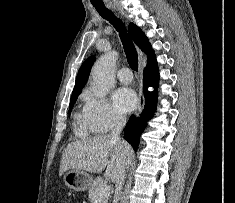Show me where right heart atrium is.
<instances>
[{
  "label": "right heart atrium",
  "instance_id": "1",
  "mask_svg": "<svg viewBox=\"0 0 235 203\" xmlns=\"http://www.w3.org/2000/svg\"><path fill=\"white\" fill-rule=\"evenodd\" d=\"M84 110L95 132L105 133L124 121V116L117 112L104 96L97 95L92 89L84 92Z\"/></svg>",
  "mask_w": 235,
  "mask_h": 203
}]
</instances>
